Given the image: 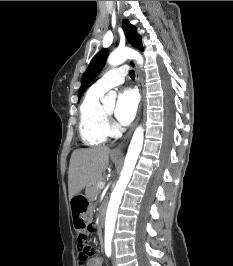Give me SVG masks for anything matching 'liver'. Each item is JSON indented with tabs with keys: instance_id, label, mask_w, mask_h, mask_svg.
Wrapping results in <instances>:
<instances>
[{
	"instance_id": "liver-1",
	"label": "liver",
	"mask_w": 233,
	"mask_h": 266,
	"mask_svg": "<svg viewBox=\"0 0 233 266\" xmlns=\"http://www.w3.org/2000/svg\"><path fill=\"white\" fill-rule=\"evenodd\" d=\"M110 149L98 146L73 151L68 171L69 199L96 181L109 164Z\"/></svg>"
}]
</instances>
